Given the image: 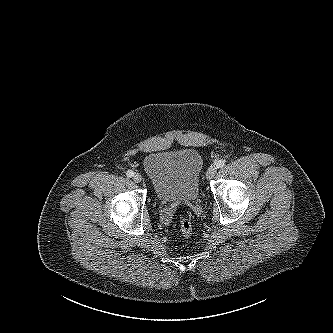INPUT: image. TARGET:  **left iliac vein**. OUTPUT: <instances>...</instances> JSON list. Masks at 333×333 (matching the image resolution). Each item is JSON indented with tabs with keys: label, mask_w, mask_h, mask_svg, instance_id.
<instances>
[{
	"label": "left iliac vein",
	"mask_w": 333,
	"mask_h": 333,
	"mask_svg": "<svg viewBox=\"0 0 333 333\" xmlns=\"http://www.w3.org/2000/svg\"><path fill=\"white\" fill-rule=\"evenodd\" d=\"M217 172V167L215 165H211L207 171L206 177L207 179H212Z\"/></svg>",
	"instance_id": "4c4485c4"
}]
</instances>
